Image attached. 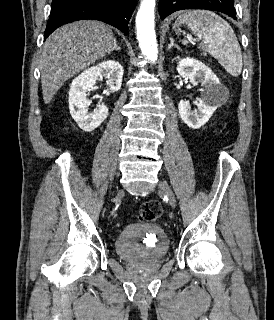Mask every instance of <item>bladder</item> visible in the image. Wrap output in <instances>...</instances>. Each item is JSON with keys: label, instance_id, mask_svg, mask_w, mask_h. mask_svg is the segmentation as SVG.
Instances as JSON below:
<instances>
[{"label": "bladder", "instance_id": "bladder-1", "mask_svg": "<svg viewBox=\"0 0 274 320\" xmlns=\"http://www.w3.org/2000/svg\"><path fill=\"white\" fill-rule=\"evenodd\" d=\"M170 248L166 232L158 225L132 223L124 226L114 241L116 254L130 262H153L164 258Z\"/></svg>", "mask_w": 274, "mask_h": 320}]
</instances>
